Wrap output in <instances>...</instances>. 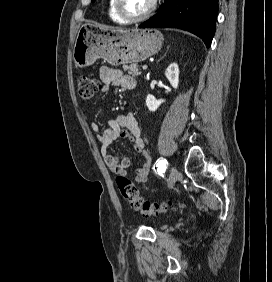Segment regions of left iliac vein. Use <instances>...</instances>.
<instances>
[{"label": "left iliac vein", "instance_id": "obj_1", "mask_svg": "<svg viewBox=\"0 0 272 282\" xmlns=\"http://www.w3.org/2000/svg\"><path fill=\"white\" fill-rule=\"evenodd\" d=\"M178 178H179L178 170L175 167H171L168 187H172L175 184V182L178 180Z\"/></svg>", "mask_w": 272, "mask_h": 282}]
</instances>
